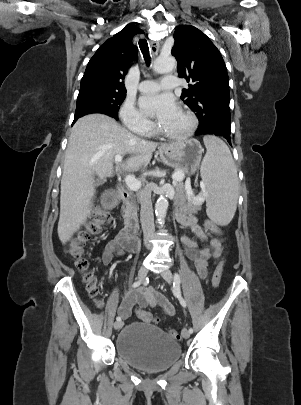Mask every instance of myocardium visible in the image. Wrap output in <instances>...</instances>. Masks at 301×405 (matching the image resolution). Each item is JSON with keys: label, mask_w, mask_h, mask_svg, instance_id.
<instances>
[{"label": "myocardium", "mask_w": 301, "mask_h": 405, "mask_svg": "<svg viewBox=\"0 0 301 405\" xmlns=\"http://www.w3.org/2000/svg\"><path fill=\"white\" fill-rule=\"evenodd\" d=\"M181 113L188 119V127L179 133H172V132H168L165 131L164 129H162L161 127L157 128V132L159 134H161L162 136L171 139V140H184L187 139L189 137H191L194 132L196 131L197 127H198V119L196 117V115L191 112L190 110H182Z\"/></svg>", "instance_id": "myocardium-1"}]
</instances>
